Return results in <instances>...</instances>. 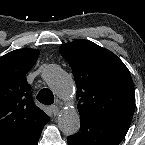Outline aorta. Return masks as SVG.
<instances>
[{"mask_svg":"<svg viewBox=\"0 0 145 145\" xmlns=\"http://www.w3.org/2000/svg\"><path fill=\"white\" fill-rule=\"evenodd\" d=\"M43 80L61 98H69L74 92V82L58 65L49 64L42 72ZM59 129L67 136L74 135L80 128V115L76 109L65 108L58 116Z\"/></svg>","mask_w":145,"mask_h":145,"instance_id":"1","label":"aorta"}]
</instances>
